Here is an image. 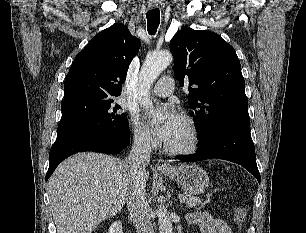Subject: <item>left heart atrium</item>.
<instances>
[{
	"label": "left heart atrium",
	"mask_w": 306,
	"mask_h": 233,
	"mask_svg": "<svg viewBox=\"0 0 306 233\" xmlns=\"http://www.w3.org/2000/svg\"><path fill=\"white\" fill-rule=\"evenodd\" d=\"M165 113V118L159 124L155 125L153 130L160 140L167 142L179 127L182 117L172 107H167ZM153 118V112L147 114V119L150 122H152Z\"/></svg>",
	"instance_id": "1"
}]
</instances>
